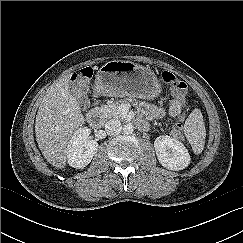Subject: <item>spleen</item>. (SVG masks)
<instances>
[{
    "mask_svg": "<svg viewBox=\"0 0 243 243\" xmlns=\"http://www.w3.org/2000/svg\"><path fill=\"white\" fill-rule=\"evenodd\" d=\"M184 132L195 153L200 154L205 145L206 129L201 111L192 110L185 121Z\"/></svg>",
    "mask_w": 243,
    "mask_h": 243,
    "instance_id": "3e777b00",
    "label": "spleen"
}]
</instances>
